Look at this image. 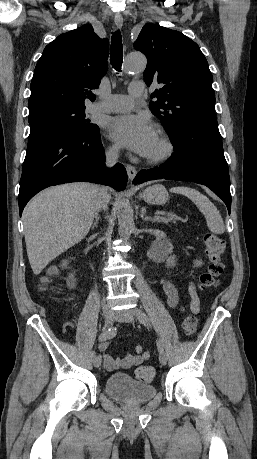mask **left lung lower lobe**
Masks as SVG:
<instances>
[{
  "label": "left lung lower lobe",
  "mask_w": 257,
  "mask_h": 459,
  "mask_svg": "<svg viewBox=\"0 0 257 459\" xmlns=\"http://www.w3.org/2000/svg\"><path fill=\"white\" fill-rule=\"evenodd\" d=\"M169 137L174 146L173 156L157 168L140 171L133 183L170 179L203 184L224 201L230 213L229 171L216 118L182 123Z\"/></svg>",
  "instance_id": "1"
}]
</instances>
